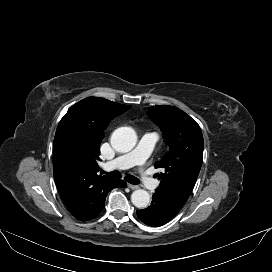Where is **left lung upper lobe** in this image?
I'll use <instances>...</instances> for the list:
<instances>
[{
  "mask_svg": "<svg viewBox=\"0 0 272 272\" xmlns=\"http://www.w3.org/2000/svg\"><path fill=\"white\" fill-rule=\"evenodd\" d=\"M149 117L163 131L168 152L155 163L160 185L155 195L180 208L189 197L203 160V135L199 125L177 107L151 106Z\"/></svg>",
  "mask_w": 272,
  "mask_h": 272,
  "instance_id": "5c2ea615",
  "label": "left lung upper lobe"
}]
</instances>
